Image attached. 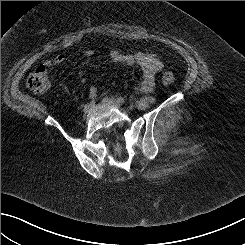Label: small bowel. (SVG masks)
<instances>
[{"label": "small bowel", "instance_id": "1", "mask_svg": "<svg viewBox=\"0 0 245 245\" xmlns=\"http://www.w3.org/2000/svg\"><path fill=\"white\" fill-rule=\"evenodd\" d=\"M92 52H87L86 55H91ZM66 56L64 53L57 54L51 59L44 62L46 68H53L60 65ZM109 62L111 64H122L127 66L138 65L143 72L142 80L134 85L133 91L137 93H150L156 82L158 73L162 70V62L154 55L147 54L141 51H137L131 54H123L118 51H111L109 53ZM90 97H96L97 88L91 86L89 89Z\"/></svg>", "mask_w": 245, "mask_h": 245}]
</instances>
